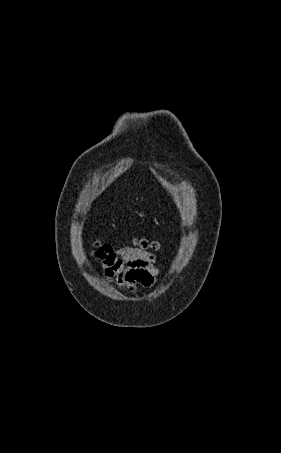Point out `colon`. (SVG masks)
I'll list each match as a JSON object with an SVG mask.
<instances>
[{
    "label": "colon",
    "instance_id": "obj_1",
    "mask_svg": "<svg viewBox=\"0 0 281 453\" xmlns=\"http://www.w3.org/2000/svg\"><path fill=\"white\" fill-rule=\"evenodd\" d=\"M132 245H137L138 247H147L148 250L155 249L156 246L154 243L147 242V241H136ZM153 254V253H152ZM96 260L98 261H104V252L99 253L96 257Z\"/></svg>",
    "mask_w": 281,
    "mask_h": 453
}]
</instances>
